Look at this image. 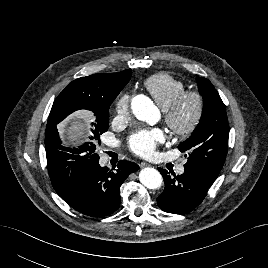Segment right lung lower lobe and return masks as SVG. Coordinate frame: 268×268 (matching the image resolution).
<instances>
[{"mask_svg": "<svg viewBox=\"0 0 268 268\" xmlns=\"http://www.w3.org/2000/svg\"><path fill=\"white\" fill-rule=\"evenodd\" d=\"M56 131V130H54ZM139 166L121 160L116 170L101 167L99 160L77 180L61 198L76 211L91 217H103L120 206V186Z\"/></svg>", "mask_w": 268, "mask_h": 268, "instance_id": "98d812e1", "label": "right lung lower lobe"}]
</instances>
